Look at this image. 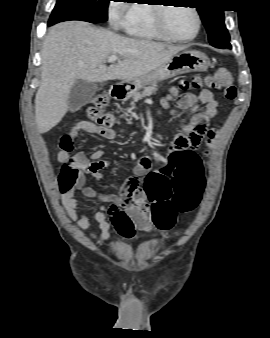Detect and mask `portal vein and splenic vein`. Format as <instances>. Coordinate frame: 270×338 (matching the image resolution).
<instances>
[{
	"label": "portal vein and splenic vein",
	"instance_id": "18ae733b",
	"mask_svg": "<svg viewBox=\"0 0 270 338\" xmlns=\"http://www.w3.org/2000/svg\"><path fill=\"white\" fill-rule=\"evenodd\" d=\"M118 60V56H116V55H111L109 58H108V62L109 63H113V62H115V61H117Z\"/></svg>",
	"mask_w": 270,
	"mask_h": 338
}]
</instances>
